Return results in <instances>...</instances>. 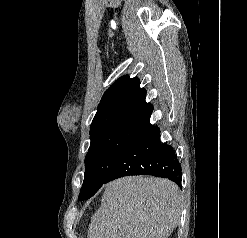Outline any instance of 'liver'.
<instances>
[{"instance_id":"obj_1","label":"liver","mask_w":247,"mask_h":238,"mask_svg":"<svg viewBox=\"0 0 247 238\" xmlns=\"http://www.w3.org/2000/svg\"><path fill=\"white\" fill-rule=\"evenodd\" d=\"M179 187L155 177L129 176L108 183L91 218L88 238H168L182 213Z\"/></svg>"}]
</instances>
